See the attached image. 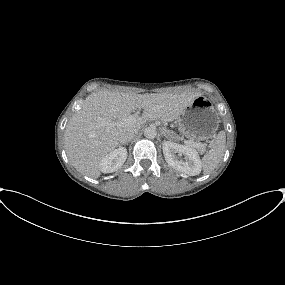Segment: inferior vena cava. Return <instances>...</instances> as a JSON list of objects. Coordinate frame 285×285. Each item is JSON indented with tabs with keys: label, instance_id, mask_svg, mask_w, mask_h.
<instances>
[{
	"label": "inferior vena cava",
	"instance_id": "inferior-vena-cava-1",
	"mask_svg": "<svg viewBox=\"0 0 285 285\" xmlns=\"http://www.w3.org/2000/svg\"><path fill=\"white\" fill-rule=\"evenodd\" d=\"M136 133L137 131L133 129H124L120 132L118 140L123 144L128 143L131 139H133Z\"/></svg>",
	"mask_w": 285,
	"mask_h": 285
}]
</instances>
